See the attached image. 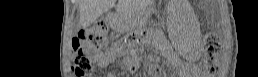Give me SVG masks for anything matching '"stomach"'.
Here are the masks:
<instances>
[{
	"instance_id": "obj_1",
	"label": "stomach",
	"mask_w": 258,
	"mask_h": 77,
	"mask_svg": "<svg viewBox=\"0 0 258 77\" xmlns=\"http://www.w3.org/2000/svg\"><path fill=\"white\" fill-rule=\"evenodd\" d=\"M130 21L127 18L122 20V28H126L129 25Z\"/></svg>"
}]
</instances>
